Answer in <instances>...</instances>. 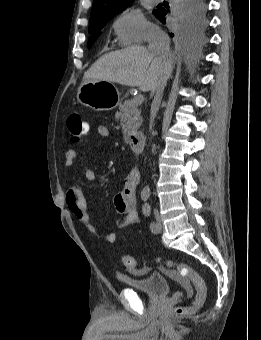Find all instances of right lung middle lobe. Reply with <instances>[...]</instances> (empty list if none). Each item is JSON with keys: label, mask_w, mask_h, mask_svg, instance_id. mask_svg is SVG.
Wrapping results in <instances>:
<instances>
[{"label": "right lung middle lobe", "mask_w": 261, "mask_h": 340, "mask_svg": "<svg viewBox=\"0 0 261 340\" xmlns=\"http://www.w3.org/2000/svg\"><path fill=\"white\" fill-rule=\"evenodd\" d=\"M157 10L153 11L156 14ZM112 17H106L89 24V33L91 34L88 40L90 47L98 36L101 34V29ZM178 21L180 34L190 40L203 37L206 26V8L202 0H187L179 5Z\"/></svg>", "instance_id": "obj_1"}]
</instances>
